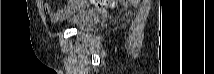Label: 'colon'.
<instances>
[{
	"instance_id": "obj_1",
	"label": "colon",
	"mask_w": 214,
	"mask_h": 74,
	"mask_svg": "<svg viewBox=\"0 0 214 74\" xmlns=\"http://www.w3.org/2000/svg\"><path fill=\"white\" fill-rule=\"evenodd\" d=\"M89 3L97 8H113L116 7L120 1L118 0H91Z\"/></svg>"
}]
</instances>
